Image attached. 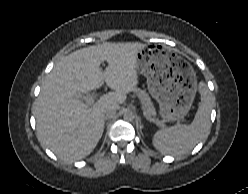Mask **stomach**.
Here are the masks:
<instances>
[{"label":"stomach","mask_w":248,"mask_h":194,"mask_svg":"<svg viewBox=\"0 0 248 194\" xmlns=\"http://www.w3.org/2000/svg\"><path fill=\"white\" fill-rule=\"evenodd\" d=\"M136 59V69L146 77L148 91L159 103L162 118L166 121L183 119L197 91V77L192 66L159 45H146Z\"/></svg>","instance_id":"0dacf381"}]
</instances>
